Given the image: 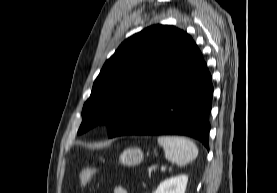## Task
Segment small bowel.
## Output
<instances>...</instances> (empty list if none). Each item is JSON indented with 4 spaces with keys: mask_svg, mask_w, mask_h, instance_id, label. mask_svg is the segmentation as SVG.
Masks as SVG:
<instances>
[{
    "mask_svg": "<svg viewBox=\"0 0 277 193\" xmlns=\"http://www.w3.org/2000/svg\"><path fill=\"white\" fill-rule=\"evenodd\" d=\"M113 193H128L127 189L122 186H116Z\"/></svg>",
    "mask_w": 277,
    "mask_h": 193,
    "instance_id": "obj_1",
    "label": "small bowel"
}]
</instances>
